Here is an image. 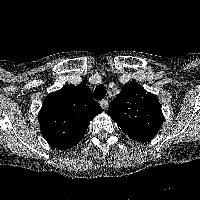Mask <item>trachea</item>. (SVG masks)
Masks as SVG:
<instances>
[{"instance_id":"trachea-1","label":"trachea","mask_w":200,"mask_h":200,"mask_svg":"<svg viewBox=\"0 0 200 200\" xmlns=\"http://www.w3.org/2000/svg\"><path fill=\"white\" fill-rule=\"evenodd\" d=\"M106 87L102 84L98 85L94 91V97L96 100L103 99L106 96Z\"/></svg>"}]
</instances>
